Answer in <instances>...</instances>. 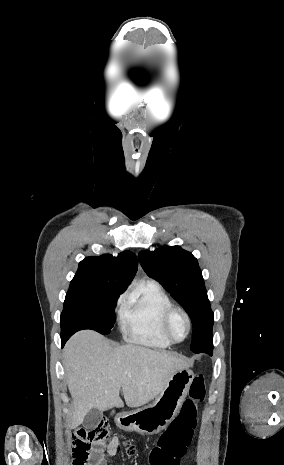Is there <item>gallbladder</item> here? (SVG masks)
Segmentation results:
<instances>
[{
  "label": "gallbladder",
  "mask_w": 284,
  "mask_h": 465,
  "mask_svg": "<svg viewBox=\"0 0 284 465\" xmlns=\"http://www.w3.org/2000/svg\"><path fill=\"white\" fill-rule=\"evenodd\" d=\"M102 417L103 415L101 411H97V409H91L83 421V427H85V429H96L100 421H102Z\"/></svg>",
  "instance_id": "gallbladder-1"
}]
</instances>
